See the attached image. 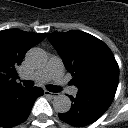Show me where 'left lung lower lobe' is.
Segmentation results:
<instances>
[{"label": "left lung lower lobe", "mask_w": 128, "mask_h": 128, "mask_svg": "<svg viewBox=\"0 0 128 128\" xmlns=\"http://www.w3.org/2000/svg\"><path fill=\"white\" fill-rule=\"evenodd\" d=\"M73 102L70 111L59 114V118L75 127L89 125L99 119L111 105L114 95L106 92H78L69 96Z\"/></svg>", "instance_id": "obj_1"}]
</instances>
